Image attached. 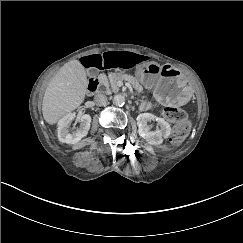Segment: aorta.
I'll return each mask as SVG.
<instances>
[{"mask_svg":"<svg viewBox=\"0 0 243 243\" xmlns=\"http://www.w3.org/2000/svg\"><path fill=\"white\" fill-rule=\"evenodd\" d=\"M113 103L117 106L124 105L125 98L123 95H115L113 99Z\"/></svg>","mask_w":243,"mask_h":243,"instance_id":"1","label":"aorta"}]
</instances>
